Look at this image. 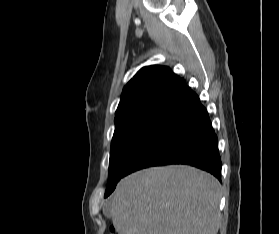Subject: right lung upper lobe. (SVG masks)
<instances>
[{"mask_svg":"<svg viewBox=\"0 0 279 234\" xmlns=\"http://www.w3.org/2000/svg\"><path fill=\"white\" fill-rule=\"evenodd\" d=\"M190 90L169 67H143L124 87L116 117L148 107H172Z\"/></svg>","mask_w":279,"mask_h":234,"instance_id":"1","label":"right lung upper lobe"}]
</instances>
